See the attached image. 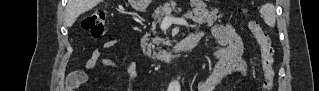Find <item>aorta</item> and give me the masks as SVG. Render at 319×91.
<instances>
[{"instance_id": "obj_1", "label": "aorta", "mask_w": 319, "mask_h": 91, "mask_svg": "<svg viewBox=\"0 0 319 91\" xmlns=\"http://www.w3.org/2000/svg\"><path fill=\"white\" fill-rule=\"evenodd\" d=\"M170 89H173L174 91H180V84L177 80H174L171 82L170 86H169Z\"/></svg>"}]
</instances>
